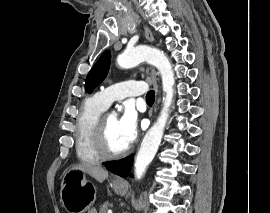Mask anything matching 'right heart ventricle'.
<instances>
[{"label":"right heart ventricle","instance_id":"e07e8e85","mask_svg":"<svg viewBox=\"0 0 270 213\" xmlns=\"http://www.w3.org/2000/svg\"><path fill=\"white\" fill-rule=\"evenodd\" d=\"M104 110L95 97H92L84 102L77 116L75 149L77 157L83 162L99 163L102 159L93 146L92 133L97 119Z\"/></svg>","mask_w":270,"mask_h":213}]
</instances>
